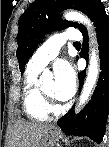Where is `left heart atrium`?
<instances>
[{
  "mask_svg": "<svg viewBox=\"0 0 109 147\" xmlns=\"http://www.w3.org/2000/svg\"><path fill=\"white\" fill-rule=\"evenodd\" d=\"M53 96L61 101L70 99L76 90V72L67 61H59L54 68Z\"/></svg>",
  "mask_w": 109,
  "mask_h": 147,
  "instance_id": "obj_1",
  "label": "left heart atrium"
}]
</instances>
